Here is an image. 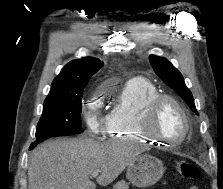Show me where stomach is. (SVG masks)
Masks as SVG:
<instances>
[{
    "instance_id": "1",
    "label": "stomach",
    "mask_w": 223,
    "mask_h": 189,
    "mask_svg": "<svg viewBox=\"0 0 223 189\" xmlns=\"http://www.w3.org/2000/svg\"><path fill=\"white\" fill-rule=\"evenodd\" d=\"M161 160L149 154L138 155L128 165L126 177L137 187H146L156 183L163 175Z\"/></svg>"
}]
</instances>
